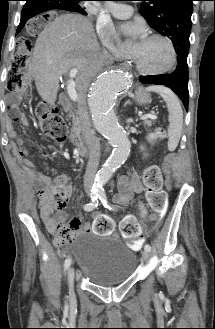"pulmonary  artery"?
<instances>
[{
  "label": "pulmonary artery",
  "mask_w": 215,
  "mask_h": 329,
  "mask_svg": "<svg viewBox=\"0 0 215 329\" xmlns=\"http://www.w3.org/2000/svg\"><path fill=\"white\" fill-rule=\"evenodd\" d=\"M108 11L116 18H128L133 14V7L123 3H112L107 7Z\"/></svg>",
  "instance_id": "e3ab8cb5"
}]
</instances>
